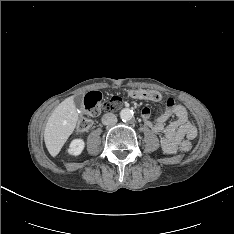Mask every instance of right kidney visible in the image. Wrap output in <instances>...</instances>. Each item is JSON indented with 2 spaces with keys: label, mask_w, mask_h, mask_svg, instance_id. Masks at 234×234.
Wrapping results in <instances>:
<instances>
[{
  "label": "right kidney",
  "mask_w": 234,
  "mask_h": 234,
  "mask_svg": "<svg viewBox=\"0 0 234 234\" xmlns=\"http://www.w3.org/2000/svg\"><path fill=\"white\" fill-rule=\"evenodd\" d=\"M85 147V142L81 138H77L71 141L68 149V153L73 156H78L82 153Z\"/></svg>",
  "instance_id": "ca27d5eb"
}]
</instances>
